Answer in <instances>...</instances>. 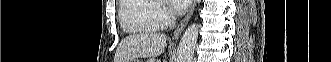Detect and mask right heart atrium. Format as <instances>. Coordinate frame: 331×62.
I'll return each instance as SVG.
<instances>
[{"instance_id": "right-heart-atrium-1", "label": "right heart atrium", "mask_w": 331, "mask_h": 62, "mask_svg": "<svg viewBox=\"0 0 331 62\" xmlns=\"http://www.w3.org/2000/svg\"><path fill=\"white\" fill-rule=\"evenodd\" d=\"M172 16L170 12L165 8H155L154 10V19L157 24L165 25L169 20H171Z\"/></svg>"}]
</instances>
